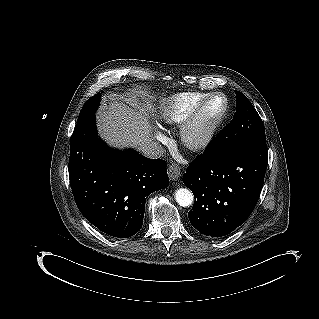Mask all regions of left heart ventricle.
I'll return each mask as SVG.
<instances>
[{"instance_id":"1","label":"left heart ventricle","mask_w":319,"mask_h":319,"mask_svg":"<svg viewBox=\"0 0 319 319\" xmlns=\"http://www.w3.org/2000/svg\"><path fill=\"white\" fill-rule=\"evenodd\" d=\"M223 102L220 98L212 100L204 109L201 121L199 123L198 132H201L214 120L221 111Z\"/></svg>"}]
</instances>
